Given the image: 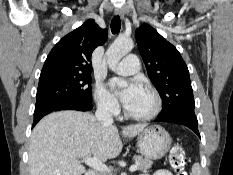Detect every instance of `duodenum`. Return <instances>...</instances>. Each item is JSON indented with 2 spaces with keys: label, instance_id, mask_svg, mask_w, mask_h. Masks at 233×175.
Here are the masks:
<instances>
[{
  "label": "duodenum",
  "instance_id": "410a0bca",
  "mask_svg": "<svg viewBox=\"0 0 233 175\" xmlns=\"http://www.w3.org/2000/svg\"><path fill=\"white\" fill-rule=\"evenodd\" d=\"M85 175H96L95 172L93 170H87L85 172Z\"/></svg>",
  "mask_w": 233,
  "mask_h": 175
}]
</instances>
